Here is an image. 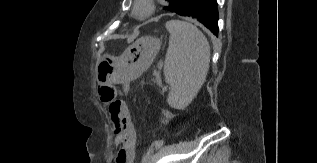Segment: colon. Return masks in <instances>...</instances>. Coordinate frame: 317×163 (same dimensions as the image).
<instances>
[{
    "mask_svg": "<svg viewBox=\"0 0 317 163\" xmlns=\"http://www.w3.org/2000/svg\"><path fill=\"white\" fill-rule=\"evenodd\" d=\"M99 98L104 103H110L109 111L113 118L124 116V103L115 101L116 89L111 85H104L98 90Z\"/></svg>",
    "mask_w": 317,
    "mask_h": 163,
    "instance_id": "5ec220e1",
    "label": "colon"
}]
</instances>
